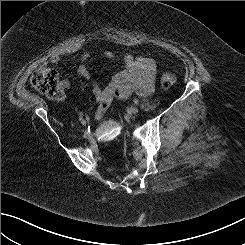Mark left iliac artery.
Listing matches in <instances>:
<instances>
[{
	"mask_svg": "<svg viewBox=\"0 0 245 245\" xmlns=\"http://www.w3.org/2000/svg\"><path fill=\"white\" fill-rule=\"evenodd\" d=\"M134 104L138 105L139 104V101L137 99H134L133 100Z\"/></svg>",
	"mask_w": 245,
	"mask_h": 245,
	"instance_id": "obj_1",
	"label": "left iliac artery"
}]
</instances>
